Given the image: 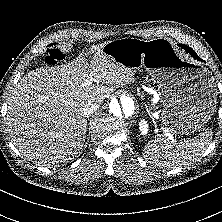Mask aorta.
<instances>
[{
	"label": "aorta",
	"mask_w": 222,
	"mask_h": 222,
	"mask_svg": "<svg viewBox=\"0 0 222 222\" xmlns=\"http://www.w3.org/2000/svg\"><path fill=\"white\" fill-rule=\"evenodd\" d=\"M109 111L117 120H125L132 117L136 112L134 98L128 94H123L120 99H112L109 103Z\"/></svg>",
	"instance_id": "obj_1"
}]
</instances>
